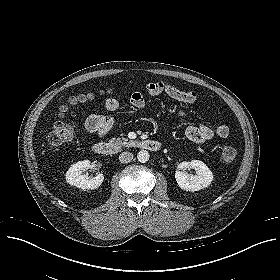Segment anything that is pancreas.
<instances>
[{
	"mask_svg": "<svg viewBox=\"0 0 280 280\" xmlns=\"http://www.w3.org/2000/svg\"><path fill=\"white\" fill-rule=\"evenodd\" d=\"M111 142H116V144L118 145H124V146H130L131 144H133L134 142L133 141H128L127 138H112L110 140Z\"/></svg>",
	"mask_w": 280,
	"mask_h": 280,
	"instance_id": "obj_1",
	"label": "pancreas"
}]
</instances>
